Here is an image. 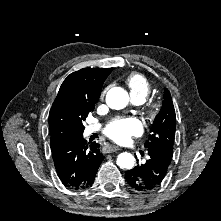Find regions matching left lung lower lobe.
<instances>
[{"label":"left lung lower lobe","instance_id":"1","mask_svg":"<svg viewBox=\"0 0 221 221\" xmlns=\"http://www.w3.org/2000/svg\"><path fill=\"white\" fill-rule=\"evenodd\" d=\"M150 159L126 171L129 186L138 192H149L157 188L165 178L172 160L171 154L157 148L148 150Z\"/></svg>","mask_w":221,"mask_h":221}]
</instances>
